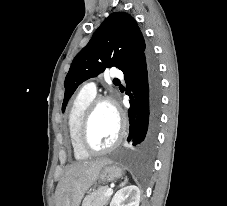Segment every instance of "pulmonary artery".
Segmentation results:
<instances>
[{
	"label": "pulmonary artery",
	"mask_w": 227,
	"mask_h": 206,
	"mask_svg": "<svg viewBox=\"0 0 227 206\" xmlns=\"http://www.w3.org/2000/svg\"><path fill=\"white\" fill-rule=\"evenodd\" d=\"M112 77L115 78H122L123 77V73L122 71L118 70V69H114L111 73ZM84 91L90 92V93H96V85L94 82H87L84 87H83Z\"/></svg>",
	"instance_id": "pulmonary-artery-1"
}]
</instances>
